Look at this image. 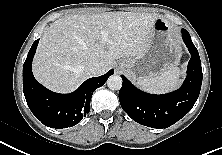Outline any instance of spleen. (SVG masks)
I'll return each mask as SVG.
<instances>
[{
  "label": "spleen",
  "instance_id": "spleen-1",
  "mask_svg": "<svg viewBox=\"0 0 222 155\" xmlns=\"http://www.w3.org/2000/svg\"><path fill=\"white\" fill-rule=\"evenodd\" d=\"M180 75V69L174 67L157 76L139 78L137 83L151 93H167L178 87Z\"/></svg>",
  "mask_w": 222,
  "mask_h": 155
}]
</instances>
